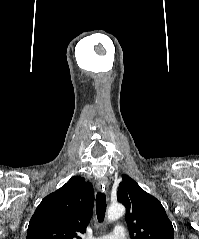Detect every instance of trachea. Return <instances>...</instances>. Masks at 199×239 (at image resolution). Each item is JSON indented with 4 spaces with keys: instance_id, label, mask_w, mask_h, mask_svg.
I'll use <instances>...</instances> for the list:
<instances>
[{
    "instance_id": "1",
    "label": "trachea",
    "mask_w": 199,
    "mask_h": 239,
    "mask_svg": "<svg viewBox=\"0 0 199 239\" xmlns=\"http://www.w3.org/2000/svg\"><path fill=\"white\" fill-rule=\"evenodd\" d=\"M106 211V196L104 193L98 192L96 195V213L99 222H102Z\"/></svg>"
}]
</instances>
